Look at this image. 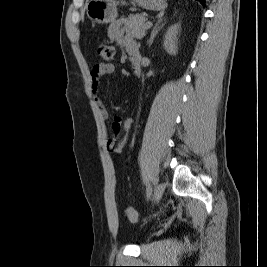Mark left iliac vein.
Segmentation results:
<instances>
[{"instance_id":"left-iliac-vein-1","label":"left iliac vein","mask_w":267,"mask_h":267,"mask_svg":"<svg viewBox=\"0 0 267 267\" xmlns=\"http://www.w3.org/2000/svg\"><path fill=\"white\" fill-rule=\"evenodd\" d=\"M165 190V185L163 183H159L156 185L155 190H154V201L159 202L160 199L163 196Z\"/></svg>"}]
</instances>
